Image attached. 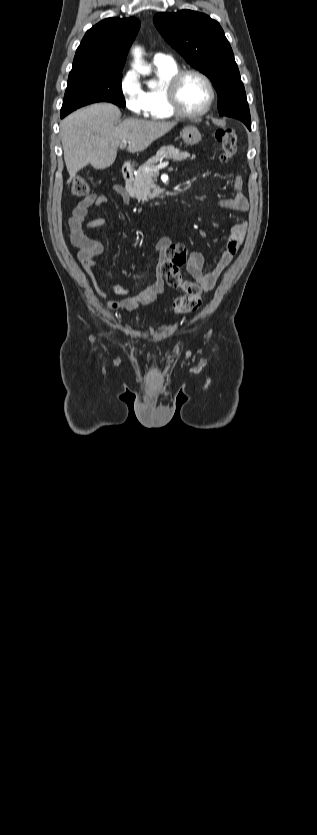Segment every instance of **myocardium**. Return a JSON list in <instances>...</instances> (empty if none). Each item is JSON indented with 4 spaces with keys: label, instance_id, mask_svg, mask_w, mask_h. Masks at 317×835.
<instances>
[{
    "label": "myocardium",
    "instance_id": "myocardium-1",
    "mask_svg": "<svg viewBox=\"0 0 317 835\" xmlns=\"http://www.w3.org/2000/svg\"><path fill=\"white\" fill-rule=\"evenodd\" d=\"M189 75H196V76L200 77L205 82V84L208 88V91H209V99H208L205 107L202 110H200L199 112H196V113H189V112L185 111L182 108V105H181L180 100H179V90H180L182 81L184 80L185 77H187ZM167 97H168L169 104H170V106H171V108H172V110H173V112L175 113L176 116L181 117V118H185V119H195V118H199V117L204 116L205 114H207L210 111V109L212 108V105L215 101L216 92H215V87L213 85V82L207 74H205L204 72H202L198 69L188 68V69L179 70L176 74H174L171 77V79L169 80V82L167 84Z\"/></svg>",
    "mask_w": 317,
    "mask_h": 835
}]
</instances>
